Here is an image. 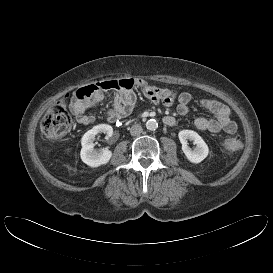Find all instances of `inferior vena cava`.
Wrapping results in <instances>:
<instances>
[{
    "instance_id": "obj_1",
    "label": "inferior vena cava",
    "mask_w": 273,
    "mask_h": 273,
    "mask_svg": "<svg viewBox=\"0 0 273 273\" xmlns=\"http://www.w3.org/2000/svg\"><path fill=\"white\" fill-rule=\"evenodd\" d=\"M142 131H143L142 126L139 124H134L130 128V134L132 136H138L142 133Z\"/></svg>"
}]
</instances>
